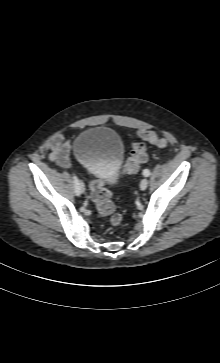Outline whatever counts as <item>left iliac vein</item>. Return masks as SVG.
Returning <instances> with one entry per match:
<instances>
[{"label":"left iliac vein","instance_id":"4c4485c4","mask_svg":"<svg viewBox=\"0 0 220 363\" xmlns=\"http://www.w3.org/2000/svg\"><path fill=\"white\" fill-rule=\"evenodd\" d=\"M148 186V180L146 178L142 179L140 182V189L145 190Z\"/></svg>","mask_w":220,"mask_h":363}]
</instances>
